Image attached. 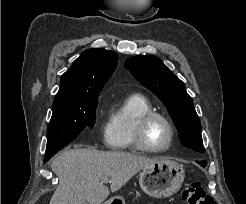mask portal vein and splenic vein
<instances>
[{
  "instance_id": "portal-vein-and-splenic-vein-1",
  "label": "portal vein and splenic vein",
  "mask_w": 246,
  "mask_h": 204,
  "mask_svg": "<svg viewBox=\"0 0 246 204\" xmlns=\"http://www.w3.org/2000/svg\"><path fill=\"white\" fill-rule=\"evenodd\" d=\"M102 182H103V183H110L111 180H110L109 178H104V179L102 180Z\"/></svg>"
}]
</instances>
